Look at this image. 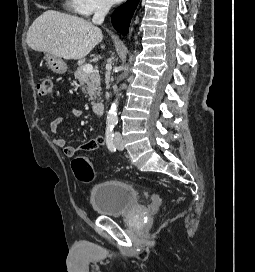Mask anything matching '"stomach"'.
Masks as SVG:
<instances>
[{"label":"stomach","instance_id":"obj_1","mask_svg":"<svg viewBox=\"0 0 255 272\" xmlns=\"http://www.w3.org/2000/svg\"><path fill=\"white\" fill-rule=\"evenodd\" d=\"M44 59L49 69L53 72L63 74L67 71V65L60 57L46 53Z\"/></svg>","mask_w":255,"mask_h":272}]
</instances>
